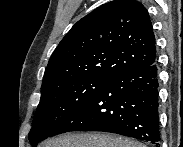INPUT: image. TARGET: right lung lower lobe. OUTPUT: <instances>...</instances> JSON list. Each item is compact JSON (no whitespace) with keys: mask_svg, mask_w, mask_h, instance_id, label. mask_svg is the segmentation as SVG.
Here are the masks:
<instances>
[{"mask_svg":"<svg viewBox=\"0 0 183 147\" xmlns=\"http://www.w3.org/2000/svg\"><path fill=\"white\" fill-rule=\"evenodd\" d=\"M157 63L111 78L52 134L70 131L116 133L153 144L160 141Z\"/></svg>","mask_w":183,"mask_h":147,"instance_id":"right-lung-lower-lobe-1","label":"right lung lower lobe"}]
</instances>
